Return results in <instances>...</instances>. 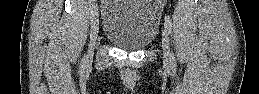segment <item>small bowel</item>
Listing matches in <instances>:
<instances>
[{"mask_svg": "<svg viewBox=\"0 0 259 94\" xmlns=\"http://www.w3.org/2000/svg\"><path fill=\"white\" fill-rule=\"evenodd\" d=\"M159 7L161 8V3H158Z\"/></svg>", "mask_w": 259, "mask_h": 94, "instance_id": "1", "label": "small bowel"}]
</instances>
